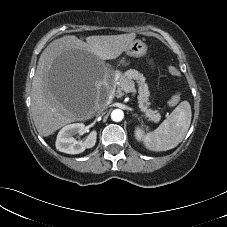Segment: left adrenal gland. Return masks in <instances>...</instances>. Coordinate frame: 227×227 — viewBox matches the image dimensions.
<instances>
[{"label":"left adrenal gland","instance_id":"left-adrenal-gland-1","mask_svg":"<svg viewBox=\"0 0 227 227\" xmlns=\"http://www.w3.org/2000/svg\"><path fill=\"white\" fill-rule=\"evenodd\" d=\"M132 116H134V117H138V116H137V114H133Z\"/></svg>","mask_w":227,"mask_h":227}]
</instances>
